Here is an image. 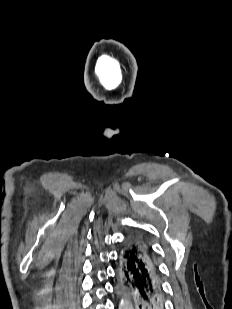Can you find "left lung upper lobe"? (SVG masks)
Instances as JSON below:
<instances>
[{"mask_svg": "<svg viewBox=\"0 0 232 309\" xmlns=\"http://www.w3.org/2000/svg\"><path fill=\"white\" fill-rule=\"evenodd\" d=\"M133 236L136 238V240L139 242V244H140L146 251H148V253H150V254L152 255V249H151L150 245L148 244V242L146 241V239H145L142 235H140V234H135V235H133ZM152 256H153V255H152ZM124 292H125V294L127 295L128 299H129V301H130V303L134 306V300L132 299L130 293H129L128 291H124Z\"/></svg>", "mask_w": 232, "mask_h": 309, "instance_id": "left-lung-upper-lobe-1", "label": "left lung upper lobe"}]
</instances>
